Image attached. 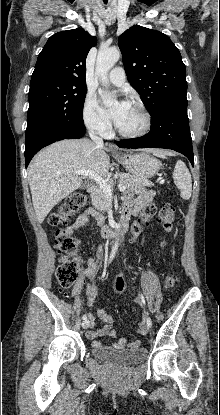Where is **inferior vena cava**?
<instances>
[{
	"label": "inferior vena cava",
	"mask_w": 220,
	"mask_h": 415,
	"mask_svg": "<svg viewBox=\"0 0 220 415\" xmlns=\"http://www.w3.org/2000/svg\"><path fill=\"white\" fill-rule=\"evenodd\" d=\"M89 135H90V138L92 139V141L95 143V145L97 147H103V139L96 136L93 129H90Z\"/></svg>",
	"instance_id": "602c4592"
}]
</instances>
